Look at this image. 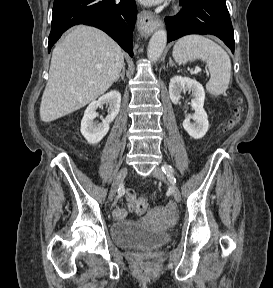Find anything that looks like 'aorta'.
I'll return each mask as SVG.
<instances>
[{"label":"aorta","mask_w":273,"mask_h":288,"mask_svg":"<svg viewBox=\"0 0 273 288\" xmlns=\"http://www.w3.org/2000/svg\"><path fill=\"white\" fill-rule=\"evenodd\" d=\"M166 42H167V33L165 30L163 29L157 30L152 35L147 49V56L150 61L155 62L161 57L165 49Z\"/></svg>","instance_id":"762f6f07"}]
</instances>
